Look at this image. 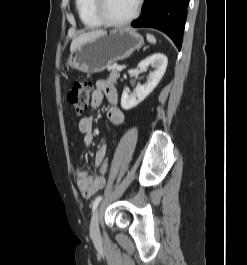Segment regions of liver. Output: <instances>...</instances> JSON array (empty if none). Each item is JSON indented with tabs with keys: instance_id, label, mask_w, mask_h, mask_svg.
Returning a JSON list of instances; mask_svg holds the SVG:
<instances>
[{
	"instance_id": "obj_1",
	"label": "liver",
	"mask_w": 247,
	"mask_h": 265,
	"mask_svg": "<svg viewBox=\"0 0 247 265\" xmlns=\"http://www.w3.org/2000/svg\"><path fill=\"white\" fill-rule=\"evenodd\" d=\"M104 31L102 30H98V31H92V32H88V33H83L81 35H79L77 38L73 39L71 46H70V51L74 50L79 44L90 40L92 38H95L101 34H103Z\"/></svg>"
}]
</instances>
